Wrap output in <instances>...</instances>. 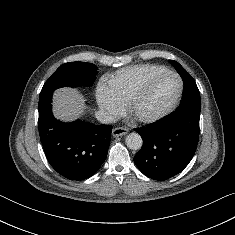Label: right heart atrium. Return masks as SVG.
<instances>
[{
	"mask_svg": "<svg viewBox=\"0 0 235 235\" xmlns=\"http://www.w3.org/2000/svg\"><path fill=\"white\" fill-rule=\"evenodd\" d=\"M96 100L99 107L111 117L117 116L122 110V106L114 99L104 85H100L97 88Z\"/></svg>",
	"mask_w": 235,
	"mask_h": 235,
	"instance_id": "right-heart-atrium-1",
	"label": "right heart atrium"
}]
</instances>
